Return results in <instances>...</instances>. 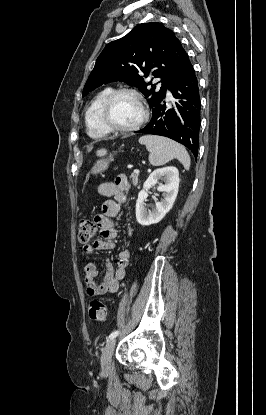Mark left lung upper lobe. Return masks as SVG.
<instances>
[{"label":"left lung upper lobe","mask_w":266,"mask_h":415,"mask_svg":"<svg viewBox=\"0 0 266 415\" xmlns=\"http://www.w3.org/2000/svg\"><path fill=\"white\" fill-rule=\"evenodd\" d=\"M188 55L175 33L158 22L142 23L124 37L108 43L96 60L83 89V96L109 82L124 81L145 95L154 109L183 69ZM161 77L162 86L144 77ZM151 85V89L147 86Z\"/></svg>","instance_id":"left-lung-upper-lobe-1"}]
</instances>
